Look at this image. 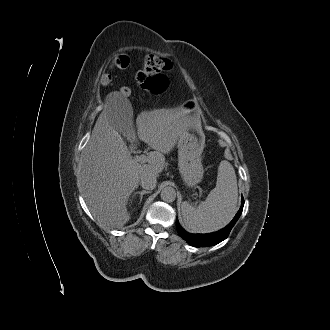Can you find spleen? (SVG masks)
I'll use <instances>...</instances> for the list:
<instances>
[{
  "mask_svg": "<svg viewBox=\"0 0 330 330\" xmlns=\"http://www.w3.org/2000/svg\"><path fill=\"white\" fill-rule=\"evenodd\" d=\"M238 187L233 166L220 162L216 187L198 206L187 201L181 204L183 222L195 233L217 231L226 226L237 212Z\"/></svg>",
  "mask_w": 330,
  "mask_h": 330,
  "instance_id": "obj_1",
  "label": "spleen"
}]
</instances>
